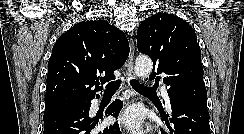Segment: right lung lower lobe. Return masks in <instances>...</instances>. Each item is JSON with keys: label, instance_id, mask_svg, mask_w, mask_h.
I'll list each match as a JSON object with an SVG mask.
<instances>
[{"label": "right lung lower lobe", "instance_id": "1", "mask_svg": "<svg viewBox=\"0 0 244 134\" xmlns=\"http://www.w3.org/2000/svg\"><path fill=\"white\" fill-rule=\"evenodd\" d=\"M90 106L91 100L45 114L43 134H121L118 123L103 130L95 129L99 121L89 117ZM122 106V102L116 100L107 108L106 114L117 118Z\"/></svg>", "mask_w": 244, "mask_h": 134}]
</instances>
